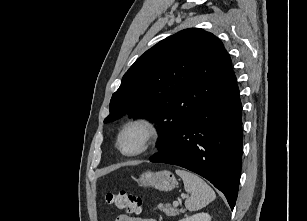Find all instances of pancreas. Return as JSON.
Segmentation results:
<instances>
[{"label": "pancreas", "instance_id": "obj_1", "mask_svg": "<svg viewBox=\"0 0 307 221\" xmlns=\"http://www.w3.org/2000/svg\"><path fill=\"white\" fill-rule=\"evenodd\" d=\"M158 208L163 211L167 216H176L179 215L180 212H185L184 209L177 210L172 208L170 205L159 204Z\"/></svg>", "mask_w": 307, "mask_h": 221}]
</instances>
